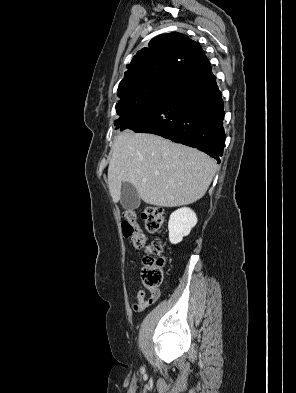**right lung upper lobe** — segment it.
I'll return each mask as SVG.
<instances>
[{"mask_svg":"<svg viewBox=\"0 0 296 393\" xmlns=\"http://www.w3.org/2000/svg\"><path fill=\"white\" fill-rule=\"evenodd\" d=\"M205 57L198 42L178 32L153 38L127 65L119 84V102L139 95L144 85L156 77H171L182 67H189Z\"/></svg>","mask_w":296,"mask_h":393,"instance_id":"1","label":"right lung upper lobe"}]
</instances>
